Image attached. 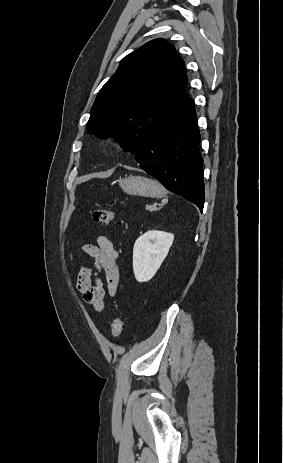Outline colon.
<instances>
[{
    "label": "colon",
    "mask_w": 283,
    "mask_h": 463,
    "mask_svg": "<svg viewBox=\"0 0 283 463\" xmlns=\"http://www.w3.org/2000/svg\"><path fill=\"white\" fill-rule=\"evenodd\" d=\"M92 220L98 224H109L114 217V212L110 209L98 208L91 214ZM124 330V320L122 316H117L112 323V336L118 338Z\"/></svg>",
    "instance_id": "5ec220e1"
}]
</instances>
